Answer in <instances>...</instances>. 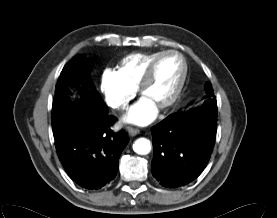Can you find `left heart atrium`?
Here are the masks:
<instances>
[{
	"label": "left heart atrium",
	"instance_id": "39dd6f15",
	"mask_svg": "<svg viewBox=\"0 0 277 218\" xmlns=\"http://www.w3.org/2000/svg\"><path fill=\"white\" fill-rule=\"evenodd\" d=\"M157 115V106L147 97L142 96L130 109L125 120L137 125H146Z\"/></svg>",
	"mask_w": 277,
	"mask_h": 218
}]
</instances>
